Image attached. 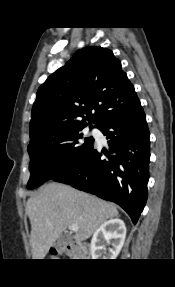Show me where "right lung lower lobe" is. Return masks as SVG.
<instances>
[{
  "instance_id": "1",
  "label": "right lung lower lobe",
  "mask_w": 175,
  "mask_h": 287,
  "mask_svg": "<svg viewBox=\"0 0 175 287\" xmlns=\"http://www.w3.org/2000/svg\"><path fill=\"white\" fill-rule=\"evenodd\" d=\"M98 128L107 136L110 152L93 148L73 170L53 179L120 205L133 223L147 200L150 141L140 101L120 114L108 117Z\"/></svg>"
}]
</instances>
